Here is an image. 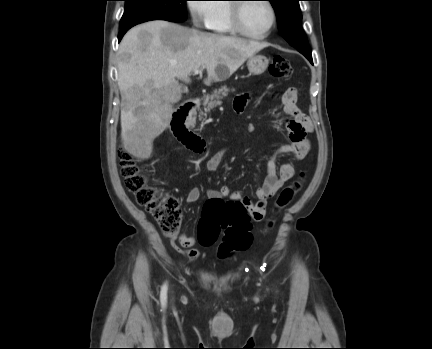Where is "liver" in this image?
<instances>
[{
	"label": "liver",
	"instance_id": "1",
	"mask_svg": "<svg viewBox=\"0 0 432 349\" xmlns=\"http://www.w3.org/2000/svg\"><path fill=\"white\" fill-rule=\"evenodd\" d=\"M144 34V35H143ZM268 43L202 32L162 20L130 29L118 50L121 138L125 149L149 158L153 141L167 127L181 98L177 79L207 70L206 85L219 81L218 66L232 75Z\"/></svg>",
	"mask_w": 432,
	"mask_h": 349
}]
</instances>
